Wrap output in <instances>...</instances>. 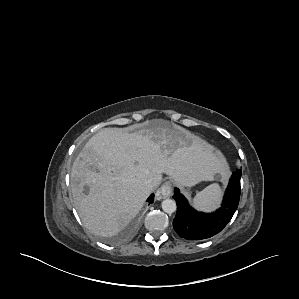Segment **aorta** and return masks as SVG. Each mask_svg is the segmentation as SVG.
Masks as SVG:
<instances>
[{"label":"aorta","instance_id":"1","mask_svg":"<svg viewBox=\"0 0 299 299\" xmlns=\"http://www.w3.org/2000/svg\"><path fill=\"white\" fill-rule=\"evenodd\" d=\"M162 209L168 214L174 213L177 209L176 202L172 199H165L162 201Z\"/></svg>","mask_w":299,"mask_h":299}]
</instances>
